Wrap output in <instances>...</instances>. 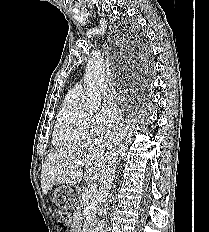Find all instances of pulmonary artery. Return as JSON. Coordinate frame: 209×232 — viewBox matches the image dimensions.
Listing matches in <instances>:
<instances>
[{"mask_svg": "<svg viewBox=\"0 0 209 232\" xmlns=\"http://www.w3.org/2000/svg\"><path fill=\"white\" fill-rule=\"evenodd\" d=\"M75 89L78 90V91H80V92H82V86H81V85H77V86L75 87Z\"/></svg>", "mask_w": 209, "mask_h": 232, "instance_id": "pulmonary-artery-1", "label": "pulmonary artery"}]
</instances>
